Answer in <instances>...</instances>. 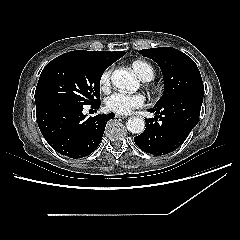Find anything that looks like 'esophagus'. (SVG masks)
<instances>
[{
    "label": "esophagus",
    "instance_id": "esophagus-1",
    "mask_svg": "<svg viewBox=\"0 0 240 240\" xmlns=\"http://www.w3.org/2000/svg\"><path fill=\"white\" fill-rule=\"evenodd\" d=\"M115 117L122 118V119L128 118L127 115H121V114H115Z\"/></svg>",
    "mask_w": 240,
    "mask_h": 240
}]
</instances>
